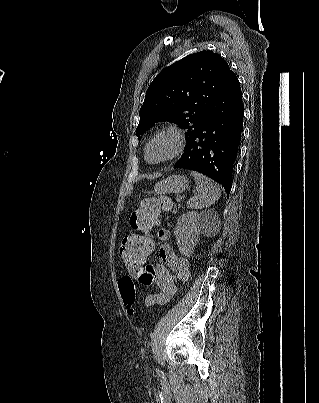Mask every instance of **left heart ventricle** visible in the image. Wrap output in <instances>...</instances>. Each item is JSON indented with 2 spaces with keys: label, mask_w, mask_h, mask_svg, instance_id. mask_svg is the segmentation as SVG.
Wrapping results in <instances>:
<instances>
[{
  "label": "left heart ventricle",
  "mask_w": 319,
  "mask_h": 403,
  "mask_svg": "<svg viewBox=\"0 0 319 403\" xmlns=\"http://www.w3.org/2000/svg\"><path fill=\"white\" fill-rule=\"evenodd\" d=\"M173 148V139L164 136L156 140L149 148L148 158L151 161L159 160L171 152Z\"/></svg>",
  "instance_id": "1"
}]
</instances>
